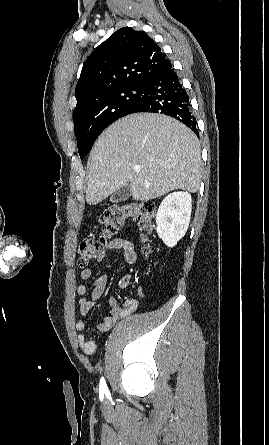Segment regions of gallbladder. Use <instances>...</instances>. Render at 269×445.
<instances>
[{
    "label": "gallbladder",
    "instance_id": "obj_1",
    "mask_svg": "<svg viewBox=\"0 0 269 445\" xmlns=\"http://www.w3.org/2000/svg\"><path fill=\"white\" fill-rule=\"evenodd\" d=\"M130 186L129 184H126L125 186H122L118 190H116L110 197V201L112 203H118L121 201H125L130 197Z\"/></svg>",
    "mask_w": 269,
    "mask_h": 445
}]
</instances>
